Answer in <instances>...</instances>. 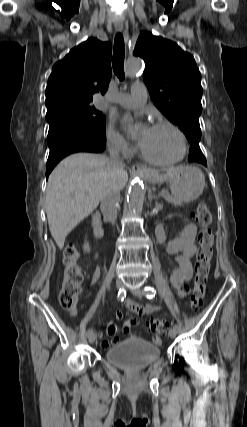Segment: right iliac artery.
<instances>
[{
  "mask_svg": "<svg viewBox=\"0 0 247 427\" xmlns=\"http://www.w3.org/2000/svg\"><path fill=\"white\" fill-rule=\"evenodd\" d=\"M125 297H126V291L124 289H120L117 295V299L119 301H123ZM92 332H93L92 328L88 329L87 336H89Z\"/></svg>",
  "mask_w": 247,
  "mask_h": 427,
  "instance_id": "right-iliac-artery-1",
  "label": "right iliac artery"
}]
</instances>
